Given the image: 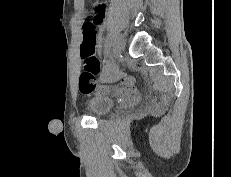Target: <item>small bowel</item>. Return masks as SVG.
I'll return each mask as SVG.
<instances>
[{"instance_id":"c3829d8e","label":"small bowel","mask_w":231,"mask_h":177,"mask_svg":"<svg viewBox=\"0 0 231 177\" xmlns=\"http://www.w3.org/2000/svg\"><path fill=\"white\" fill-rule=\"evenodd\" d=\"M105 11H106V6L104 4L97 5L93 19L91 21V23H93L95 25L96 29L102 28L103 22H104ZM101 46H102L101 37L97 35L96 49L100 50ZM105 63L108 64V62H105ZM112 70L114 73V78H123V75L116 68L112 67ZM125 83H126V85H129L131 83V80L126 78ZM115 90L116 91H123L125 89L124 88H115Z\"/></svg>"}]
</instances>
